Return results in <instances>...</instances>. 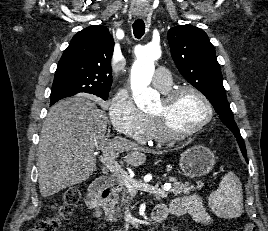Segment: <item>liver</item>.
<instances>
[{"mask_svg":"<svg viewBox=\"0 0 268 231\" xmlns=\"http://www.w3.org/2000/svg\"><path fill=\"white\" fill-rule=\"evenodd\" d=\"M108 117L90 98L79 95L52 106L42 126L37 152L38 183L43 197L80 184L97 170L95 148L142 165L143 148L121 137L108 139Z\"/></svg>","mask_w":268,"mask_h":231,"instance_id":"liver-1","label":"liver"}]
</instances>
